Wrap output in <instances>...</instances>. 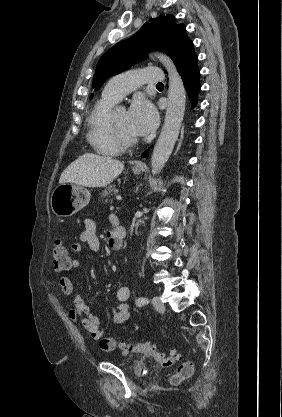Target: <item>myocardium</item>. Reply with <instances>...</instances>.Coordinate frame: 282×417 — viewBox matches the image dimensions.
<instances>
[{"mask_svg":"<svg viewBox=\"0 0 282 417\" xmlns=\"http://www.w3.org/2000/svg\"><path fill=\"white\" fill-rule=\"evenodd\" d=\"M108 123L110 125L113 139L120 147H130V146L135 145L138 142V139L136 137L127 138L120 132V130L118 129L115 123V110L111 111L109 115Z\"/></svg>","mask_w":282,"mask_h":417,"instance_id":"1","label":"myocardium"}]
</instances>
